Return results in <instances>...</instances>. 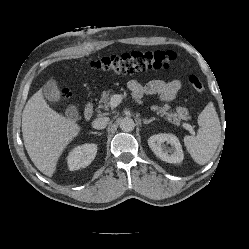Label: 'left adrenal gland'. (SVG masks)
<instances>
[{
  "label": "left adrenal gland",
  "mask_w": 249,
  "mask_h": 249,
  "mask_svg": "<svg viewBox=\"0 0 249 249\" xmlns=\"http://www.w3.org/2000/svg\"><path fill=\"white\" fill-rule=\"evenodd\" d=\"M154 120H156V118L143 119V123H144V124H149V123L153 122Z\"/></svg>",
  "instance_id": "left-adrenal-gland-1"
}]
</instances>
